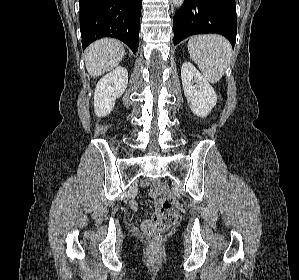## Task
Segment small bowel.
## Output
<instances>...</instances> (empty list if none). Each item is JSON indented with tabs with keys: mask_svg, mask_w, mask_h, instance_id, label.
Wrapping results in <instances>:
<instances>
[{
	"mask_svg": "<svg viewBox=\"0 0 299 280\" xmlns=\"http://www.w3.org/2000/svg\"><path fill=\"white\" fill-rule=\"evenodd\" d=\"M159 181H154L153 185H152V188H151V191H150V194L151 196L154 198L155 202L157 205H160L161 204V190L159 188ZM131 207L134 209V210H137V205L135 202H131ZM151 224V221H144L143 222V226L146 228L148 227L149 225Z\"/></svg>",
	"mask_w": 299,
	"mask_h": 280,
	"instance_id": "c3829d8e",
	"label": "small bowel"
}]
</instances>
